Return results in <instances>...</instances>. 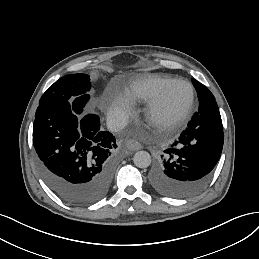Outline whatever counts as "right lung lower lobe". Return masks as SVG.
<instances>
[{"mask_svg": "<svg viewBox=\"0 0 259 259\" xmlns=\"http://www.w3.org/2000/svg\"><path fill=\"white\" fill-rule=\"evenodd\" d=\"M69 101L40 104L33 124L38 170L64 202L84 206L103 198L114 175L115 137L97 115L80 116Z\"/></svg>", "mask_w": 259, "mask_h": 259, "instance_id": "right-lung-lower-lobe-1", "label": "right lung lower lobe"}]
</instances>
